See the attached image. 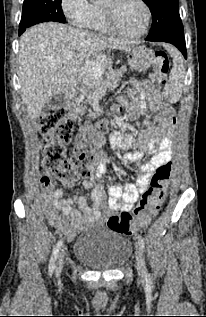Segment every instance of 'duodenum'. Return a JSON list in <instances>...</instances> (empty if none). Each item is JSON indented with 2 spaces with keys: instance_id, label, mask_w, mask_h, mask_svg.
Here are the masks:
<instances>
[{
  "instance_id": "1",
  "label": "duodenum",
  "mask_w": 206,
  "mask_h": 317,
  "mask_svg": "<svg viewBox=\"0 0 206 317\" xmlns=\"http://www.w3.org/2000/svg\"><path fill=\"white\" fill-rule=\"evenodd\" d=\"M77 100H66L65 101V109L68 115H79L80 110L78 108Z\"/></svg>"
}]
</instances>
